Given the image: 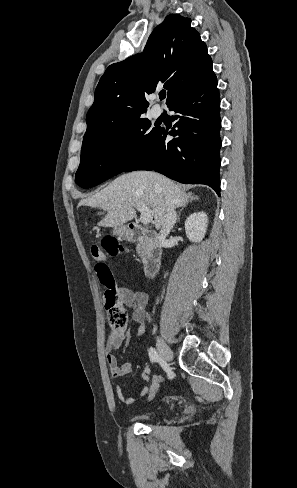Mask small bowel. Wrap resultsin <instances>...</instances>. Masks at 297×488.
<instances>
[{"instance_id": "small-bowel-1", "label": "small bowel", "mask_w": 297, "mask_h": 488, "mask_svg": "<svg viewBox=\"0 0 297 488\" xmlns=\"http://www.w3.org/2000/svg\"><path fill=\"white\" fill-rule=\"evenodd\" d=\"M103 259H106V257H103ZM118 296H119L120 303L131 309L132 311L131 319L138 325L137 339H140L145 334V330H146L145 318H146V310H147V303H148V297L146 293L128 287H120L118 288ZM125 318L127 321L126 315ZM122 340L124 343V347L127 348L132 341V335L129 327H127ZM120 341H121L120 338H116L110 335L108 337L107 344H106V358H107L109 371L112 377L116 381L126 375H129L132 371V363L130 361L120 363L115 354V348L120 343ZM142 380L146 382L150 380L149 367H145L142 373ZM152 381L153 380H151V382ZM149 389L150 386H144L135 396L129 397L124 394L121 386L117 384L116 394L121 403L125 405H131L136 401H138L139 399L145 397Z\"/></svg>"}]
</instances>
